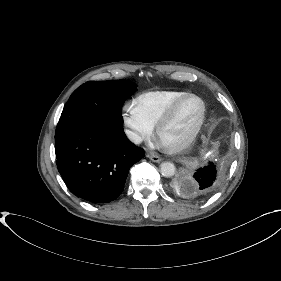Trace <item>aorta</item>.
I'll list each match as a JSON object with an SVG mask.
<instances>
[{"label":"aorta","mask_w":281,"mask_h":281,"mask_svg":"<svg viewBox=\"0 0 281 281\" xmlns=\"http://www.w3.org/2000/svg\"><path fill=\"white\" fill-rule=\"evenodd\" d=\"M160 171L164 177H172L175 174L176 168L171 162H163L160 165Z\"/></svg>","instance_id":"1"}]
</instances>
